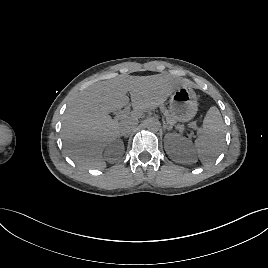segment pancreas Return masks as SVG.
I'll use <instances>...</instances> for the list:
<instances>
[{
    "instance_id": "obj_1",
    "label": "pancreas",
    "mask_w": 268,
    "mask_h": 268,
    "mask_svg": "<svg viewBox=\"0 0 268 268\" xmlns=\"http://www.w3.org/2000/svg\"><path fill=\"white\" fill-rule=\"evenodd\" d=\"M164 115L166 116V120L168 121V123L170 125H173L175 121L172 119V117L170 116L167 110L164 111Z\"/></svg>"
}]
</instances>
